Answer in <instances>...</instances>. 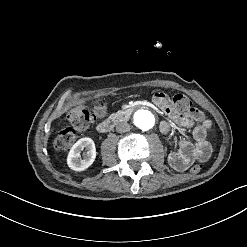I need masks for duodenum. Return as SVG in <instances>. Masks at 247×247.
<instances>
[{"label": "duodenum", "mask_w": 247, "mask_h": 247, "mask_svg": "<svg viewBox=\"0 0 247 247\" xmlns=\"http://www.w3.org/2000/svg\"><path fill=\"white\" fill-rule=\"evenodd\" d=\"M139 107L140 105H135L118 111L112 117L107 118L102 122H100L97 126V130L100 133L109 132L118 121L128 118L132 114V112Z\"/></svg>", "instance_id": "obj_1"}]
</instances>
